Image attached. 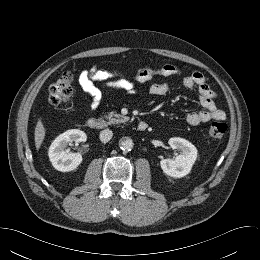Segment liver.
Masks as SVG:
<instances>
[{
	"label": "liver",
	"instance_id": "6515ba94",
	"mask_svg": "<svg viewBox=\"0 0 260 260\" xmlns=\"http://www.w3.org/2000/svg\"><path fill=\"white\" fill-rule=\"evenodd\" d=\"M45 134H46V130L44 128L41 119H39L36 124L35 133H34L35 147L37 150L41 147V144L45 138Z\"/></svg>",
	"mask_w": 260,
	"mask_h": 260
}]
</instances>
